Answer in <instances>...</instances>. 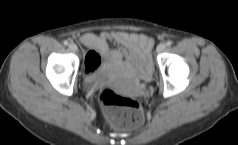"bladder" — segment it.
Masks as SVG:
<instances>
[{
  "mask_svg": "<svg viewBox=\"0 0 238 145\" xmlns=\"http://www.w3.org/2000/svg\"><path fill=\"white\" fill-rule=\"evenodd\" d=\"M99 66H95L91 69V76L93 75L94 71L98 68Z\"/></svg>",
  "mask_w": 238,
  "mask_h": 145,
  "instance_id": "obj_1",
  "label": "bladder"
}]
</instances>
